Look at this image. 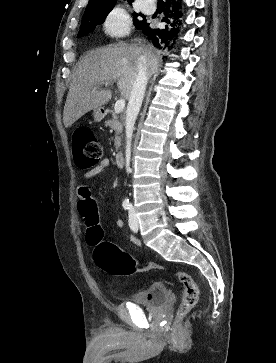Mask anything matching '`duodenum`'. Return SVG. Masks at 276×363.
<instances>
[{
	"instance_id": "410a0bca",
	"label": "duodenum",
	"mask_w": 276,
	"mask_h": 363,
	"mask_svg": "<svg viewBox=\"0 0 276 363\" xmlns=\"http://www.w3.org/2000/svg\"><path fill=\"white\" fill-rule=\"evenodd\" d=\"M115 161L118 166H122L124 163V153L122 151H118L115 156Z\"/></svg>"
}]
</instances>
